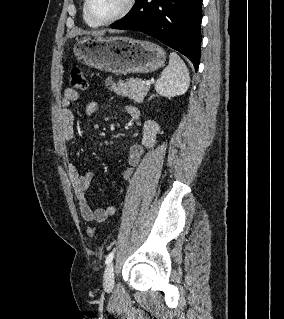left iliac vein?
<instances>
[{
    "mask_svg": "<svg viewBox=\"0 0 284 319\" xmlns=\"http://www.w3.org/2000/svg\"><path fill=\"white\" fill-rule=\"evenodd\" d=\"M103 285L107 291H111L114 287V266L112 262H110L105 269Z\"/></svg>",
    "mask_w": 284,
    "mask_h": 319,
    "instance_id": "4c4485c4",
    "label": "left iliac vein"
}]
</instances>
